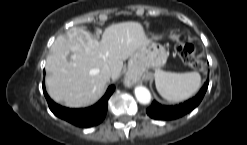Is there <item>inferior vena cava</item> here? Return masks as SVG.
<instances>
[{
  "mask_svg": "<svg viewBox=\"0 0 247 145\" xmlns=\"http://www.w3.org/2000/svg\"><path fill=\"white\" fill-rule=\"evenodd\" d=\"M102 74L106 77H110L111 73L108 67L102 69Z\"/></svg>",
  "mask_w": 247,
  "mask_h": 145,
  "instance_id": "obj_1",
  "label": "inferior vena cava"
}]
</instances>
